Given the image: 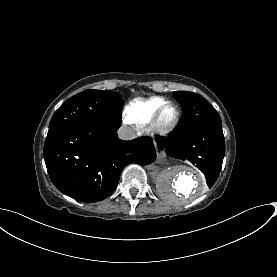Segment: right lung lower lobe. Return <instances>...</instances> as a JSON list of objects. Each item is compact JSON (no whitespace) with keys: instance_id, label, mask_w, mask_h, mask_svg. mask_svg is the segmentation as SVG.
<instances>
[{"instance_id":"obj_1","label":"right lung lower lobe","mask_w":277,"mask_h":277,"mask_svg":"<svg viewBox=\"0 0 277 277\" xmlns=\"http://www.w3.org/2000/svg\"><path fill=\"white\" fill-rule=\"evenodd\" d=\"M120 124H80L47 135L44 159L59 191L78 201L97 202L114 192L125 166L148 165L156 159L150 137L118 139Z\"/></svg>"}]
</instances>
